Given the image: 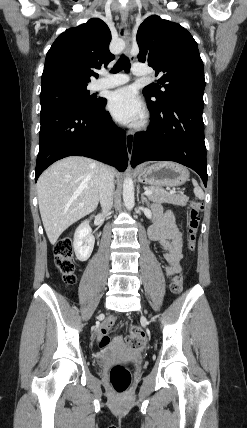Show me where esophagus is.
<instances>
[{"instance_id":"34e87169","label":"esophagus","mask_w":247,"mask_h":428,"mask_svg":"<svg viewBox=\"0 0 247 428\" xmlns=\"http://www.w3.org/2000/svg\"><path fill=\"white\" fill-rule=\"evenodd\" d=\"M128 10L126 8L121 10V24L119 27V33L120 35L126 40V52L128 54V57L131 62L135 60V58L129 54L130 51V39H129V30H128ZM133 144H134V135L132 132L127 131L126 132V148L129 159H131L132 152H133Z\"/></svg>"}]
</instances>
